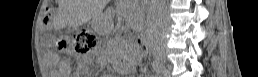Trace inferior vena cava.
Listing matches in <instances>:
<instances>
[{
    "instance_id": "1",
    "label": "inferior vena cava",
    "mask_w": 258,
    "mask_h": 77,
    "mask_svg": "<svg viewBox=\"0 0 258 77\" xmlns=\"http://www.w3.org/2000/svg\"><path fill=\"white\" fill-rule=\"evenodd\" d=\"M152 6L149 10V25L152 26L156 21L163 19L161 0H151Z\"/></svg>"
}]
</instances>
